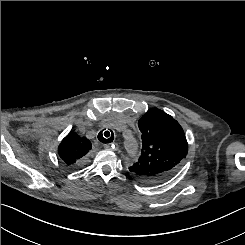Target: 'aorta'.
I'll return each mask as SVG.
<instances>
[{
	"mask_svg": "<svg viewBox=\"0 0 245 245\" xmlns=\"http://www.w3.org/2000/svg\"><path fill=\"white\" fill-rule=\"evenodd\" d=\"M124 145L128 153L136 152L138 147L137 142L132 135H129L125 138Z\"/></svg>",
	"mask_w": 245,
	"mask_h": 245,
	"instance_id": "1",
	"label": "aorta"
}]
</instances>
